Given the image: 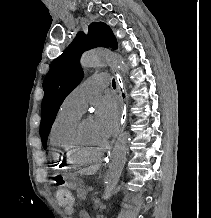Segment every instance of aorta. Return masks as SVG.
Wrapping results in <instances>:
<instances>
[{
	"label": "aorta",
	"instance_id": "1",
	"mask_svg": "<svg viewBox=\"0 0 211 218\" xmlns=\"http://www.w3.org/2000/svg\"><path fill=\"white\" fill-rule=\"evenodd\" d=\"M80 62L84 68L98 67L102 64H107L124 74L128 73L124 60L117 54L108 50L88 51L82 55ZM130 140V133L125 131L118 136L115 142L109 157V168L104 179V199L110 197L119 182L126 162Z\"/></svg>",
	"mask_w": 211,
	"mask_h": 218
}]
</instances>
